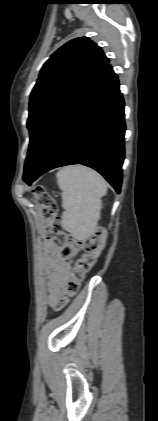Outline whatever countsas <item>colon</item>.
I'll return each mask as SVG.
<instances>
[{
	"label": "colon",
	"instance_id": "5ec220e1",
	"mask_svg": "<svg viewBox=\"0 0 158 421\" xmlns=\"http://www.w3.org/2000/svg\"><path fill=\"white\" fill-rule=\"evenodd\" d=\"M34 195L40 205L41 216L45 223L44 234L59 249L62 259L69 260L77 247L84 251L71 269L64 298L55 306L56 310H61L77 294L86 273L96 263L106 244L107 233L105 229L97 227L82 238L69 236L62 228L55 198L42 186L34 189Z\"/></svg>",
	"mask_w": 158,
	"mask_h": 421
}]
</instances>
